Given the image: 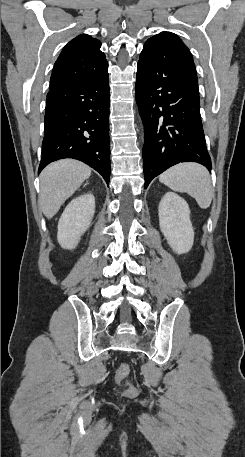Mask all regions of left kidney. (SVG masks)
<instances>
[{"label":"left kidney","mask_w":245,"mask_h":457,"mask_svg":"<svg viewBox=\"0 0 245 457\" xmlns=\"http://www.w3.org/2000/svg\"><path fill=\"white\" fill-rule=\"evenodd\" d=\"M158 210L160 229L172 251L177 255L188 253L194 243V231L186 200L176 192H166Z\"/></svg>","instance_id":"5707ae66"}]
</instances>
